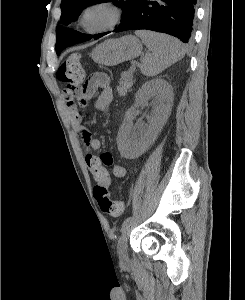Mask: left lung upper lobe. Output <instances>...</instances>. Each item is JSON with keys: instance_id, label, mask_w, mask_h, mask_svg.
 <instances>
[{"instance_id": "5c2ea615", "label": "left lung upper lobe", "mask_w": 245, "mask_h": 300, "mask_svg": "<svg viewBox=\"0 0 245 300\" xmlns=\"http://www.w3.org/2000/svg\"><path fill=\"white\" fill-rule=\"evenodd\" d=\"M102 2H113L114 5L119 6L122 11V22L126 20L132 12L134 0H62L61 2V25L57 26L56 29V53L59 55L60 52L67 46L84 42L92 37L95 38L101 34L94 36L85 35L78 31L70 29L68 26L77 19L81 11L87 6L102 3Z\"/></svg>"}]
</instances>
